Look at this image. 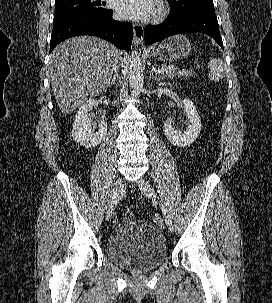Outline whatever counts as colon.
Segmentation results:
<instances>
[{
  "mask_svg": "<svg viewBox=\"0 0 272 303\" xmlns=\"http://www.w3.org/2000/svg\"><path fill=\"white\" fill-rule=\"evenodd\" d=\"M175 74L178 77H192L196 75L195 71L189 68H178L175 70ZM125 220H131L133 218V212L130 209H126L123 213Z\"/></svg>",
  "mask_w": 272,
  "mask_h": 303,
  "instance_id": "obj_1",
  "label": "colon"
}]
</instances>
